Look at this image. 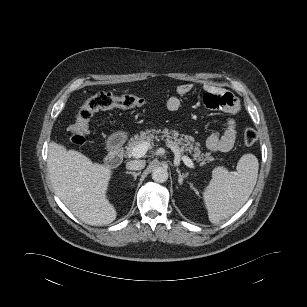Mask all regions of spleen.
<instances>
[{
    "label": "spleen",
    "instance_id": "1",
    "mask_svg": "<svg viewBox=\"0 0 307 307\" xmlns=\"http://www.w3.org/2000/svg\"><path fill=\"white\" fill-rule=\"evenodd\" d=\"M233 175L224 168L213 171L212 179L203 192L211 223H219L235 214L248 200L257 181L259 163L253 154H244Z\"/></svg>",
    "mask_w": 307,
    "mask_h": 307
}]
</instances>
